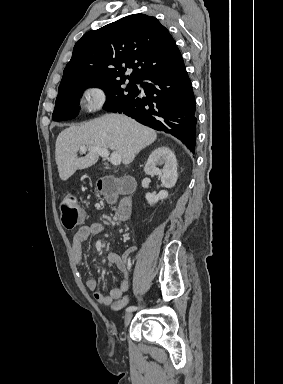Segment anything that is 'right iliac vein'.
I'll list each match as a JSON object with an SVG mask.
<instances>
[{
  "instance_id": "obj_1",
  "label": "right iliac vein",
  "mask_w": 283,
  "mask_h": 384,
  "mask_svg": "<svg viewBox=\"0 0 283 384\" xmlns=\"http://www.w3.org/2000/svg\"><path fill=\"white\" fill-rule=\"evenodd\" d=\"M132 316H133V311H128L126 312L125 316H124V325L125 327H127L132 319Z\"/></svg>"
}]
</instances>
